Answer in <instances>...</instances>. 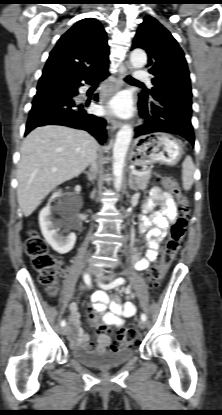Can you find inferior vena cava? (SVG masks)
<instances>
[{
	"instance_id": "obj_1",
	"label": "inferior vena cava",
	"mask_w": 222,
	"mask_h": 415,
	"mask_svg": "<svg viewBox=\"0 0 222 415\" xmlns=\"http://www.w3.org/2000/svg\"><path fill=\"white\" fill-rule=\"evenodd\" d=\"M91 170L95 173L97 171L96 153L91 160Z\"/></svg>"
}]
</instances>
